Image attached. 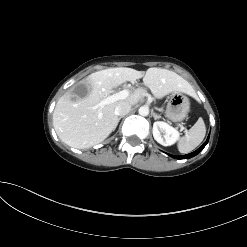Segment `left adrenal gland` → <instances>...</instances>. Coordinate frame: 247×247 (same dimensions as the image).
<instances>
[{
	"mask_svg": "<svg viewBox=\"0 0 247 247\" xmlns=\"http://www.w3.org/2000/svg\"><path fill=\"white\" fill-rule=\"evenodd\" d=\"M152 115H153V117H154V119L156 120V119H160L161 118V116L160 115H157L156 113H154V112H152Z\"/></svg>",
	"mask_w": 247,
	"mask_h": 247,
	"instance_id": "left-adrenal-gland-1",
	"label": "left adrenal gland"
}]
</instances>
